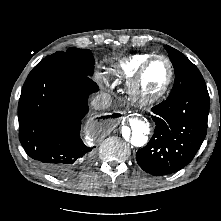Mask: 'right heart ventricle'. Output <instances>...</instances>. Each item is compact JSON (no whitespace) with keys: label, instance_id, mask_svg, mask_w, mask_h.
<instances>
[{"label":"right heart ventricle","instance_id":"e07e8e85","mask_svg":"<svg viewBox=\"0 0 221 221\" xmlns=\"http://www.w3.org/2000/svg\"><path fill=\"white\" fill-rule=\"evenodd\" d=\"M153 55L152 53H138L123 58L113 66L112 73L125 81H130L140 65Z\"/></svg>","mask_w":221,"mask_h":221}]
</instances>
